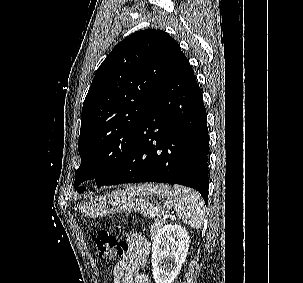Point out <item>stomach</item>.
I'll return each mask as SVG.
<instances>
[{
  "label": "stomach",
  "mask_w": 303,
  "mask_h": 283,
  "mask_svg": "<svg viewBox=\"0 0 303 283\" xmlns=\"http://www.w3.org/2000/svg\"><path fill=\"white\" fill-rule=\"evenodd\" d=\"M175 200L173 190L165 184H142L95 196L81 203L85 216L95 218L111 213L138 212L150 218L165 215Z\"/></svg>",
  "instance_id": "stomach-1"
}]
</instances>
